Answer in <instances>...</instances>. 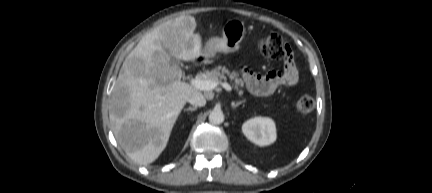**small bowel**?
I'll use <instances>...</instances> for the list:
<instances>
[{
    "label": "small bowel",
    "mask_w": 432,
    "mask_h": 193,
    "mask_svg": "<svg viewBox=\"0 0 432 193\" xmlns=\"http://www.w3.org/2000/svg\"><path fill=\"white\" fill-rule=\"evenodd\" d=\"M242 77L251 93L268 96L281 87L294 86L298 82V71L290 58L285 60L283 71H272L266 75H259L251 70L243 69Z\"/></svg>",
    "instance_id": "c3829d8e"
}]
</instances>
